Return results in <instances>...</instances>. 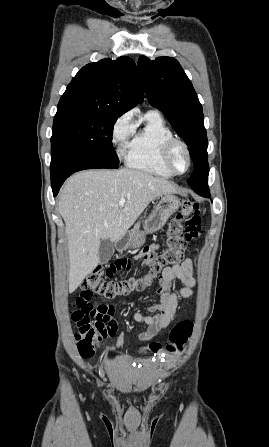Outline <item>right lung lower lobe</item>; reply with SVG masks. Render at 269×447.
I'll return each mask as SVG.
<instances>
[{"label": "right lung lower lobe", "instance_id": "obj_1", "mask_svg": "<svg viewBox=\"0 0 269 447\" xmlns=\"http://www.w3.org/2000/svg\"><path fill=\"white\" fill-rule=\"evenodd\" d=\"M92 168H118V164L61 148L52 151L50 173L54 197L70 175L80 170Z\"/></svg>", "mask_w": 269, "mask_h": 447}]
</instances>
